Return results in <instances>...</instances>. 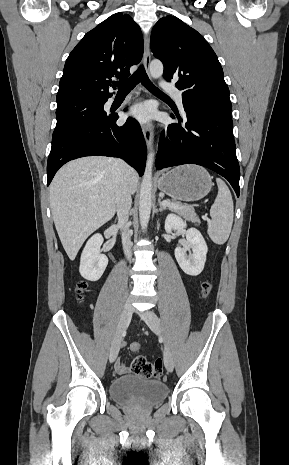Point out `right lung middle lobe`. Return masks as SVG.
<instances>
[{"label": "right lung middle lobe", "mask_w": 289, "mask_h": 465, "mask_svg": "<svg viewBox=\"0 0 289 465\" xmlns=\"http://www.w3.org/2000/svg\"><path fill=\"white\" fill-rule=\"evenodd\" d=\"M106 100H77L57 105V124L53 137L57 138L70 130L106 117L103 110Z\"/></svg>", "instance_id": "1"}]
</instances>
